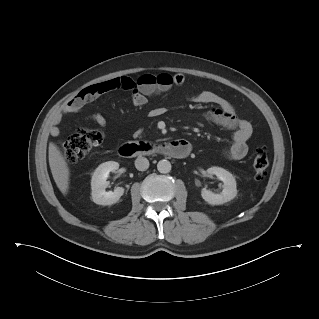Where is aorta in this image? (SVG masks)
<instances>
[{"label": "aorta", "mask_w": 319, "mask_h": 319, "mask_svg": "<svg viewBox=\"0 0 319 319\" xmlns=\"http://www.w3.org/2000/svg\"><path fill=\"white\" fill-rule=\"evenodd\" d=\"M157 169L160 173H169L171 171V163L168 160H160L157 164Z\"/></svg>", "instance_id": "1"}]
</instances>
